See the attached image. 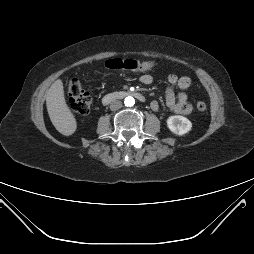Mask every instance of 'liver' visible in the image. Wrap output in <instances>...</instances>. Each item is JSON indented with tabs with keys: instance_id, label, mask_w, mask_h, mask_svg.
<instances>
[{
	"instance_id": "6515ba94",
	"label": "liver",
	"mask_w": 254,
	"mask_h": 254,
	"mask_svg": "<svg viewBox=\"0 0 254 254\" xmlns=\"http://www.w3.org/2000/svg\"><path fill=\"white\" fill-rule=\"evenodd\" d=\"M46 106L56 130L65 136L72 135L77 128V122L66 104L64 87L60 79L56 80L47 90Z\"/></svg>"
}]
</instances>
